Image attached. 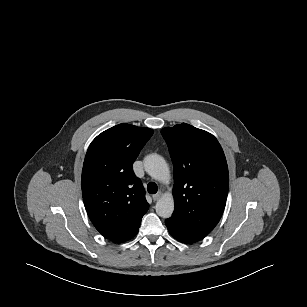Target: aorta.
<instances>
[{"label": "aorta", "instance_id": "1", "mask_svg": "<svg viewBox=\"0 0 307 307\" xmlns=\"http://www.w3.org/2000/svg\"><path fill=\"white\" fill-rule=\"evenodd\" d=\"M144 168L152 178L167 182L170 179V170L165 159L158 154H150L144 158ZM156 213L162 218L171 217L174 211V199L172 195H163L156 203Z\"/></svg>", "mask_w": 307, "mask_h": 307}]
</instances>
